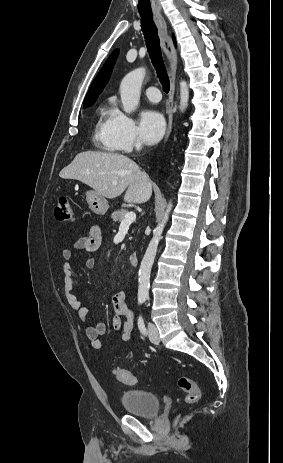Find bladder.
Masks as SVG:
<instances>
[{
	"label": "bladder",
	"mask_w": 283,
	"mask_h": 463,
	"mask_svg": "<svg viewBox=\"0 0 283 463\" xmlns=\"http://www.w3.org/2000/svg\"><path fill=\"white\" fill-rule=\"evenodd\" d=\"M120 400L125 412L140 417L154 418L161 410L160 397L143 390H126Z\"/></svg>",
	"instance_id": "1"
}]
</instances>
